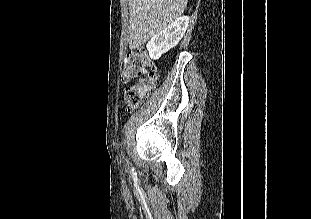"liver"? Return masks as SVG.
<instances>
[{"mask_svg": "<svg viewBox=\"0 0 311 219\" xmlns=\"http://www.w3.org/2000/svg\"><path fill=\"white\" fill-rule=\"evenodd\" d=\"M129 48L136 49L184 12L188 0H128Z\"/></svg>", "mask_w": 311, "mask_h": 219, "instance_id": "6515ba94", "label": "liver"}]
</instances>
